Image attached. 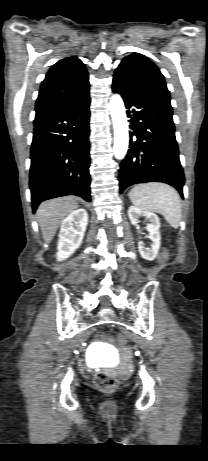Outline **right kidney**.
<instances>
[{
	"label": "right kidney",
	"instance_id": "1",
	"mask_svg": "<svg viewBox=\"0 0 208 461\" xmlns=\"http://www.w3.org/2000/svg\"><path fill=\"white\" fill-rule=\"evenodd\" d=\"M88 224V214L80 208L71 212L61 223L57 246V260L69 258L82 243Z\"/></svg>",
	"mask_w": 208,
	"mask_h": 461
}]
</instances>
